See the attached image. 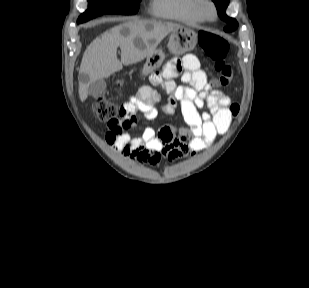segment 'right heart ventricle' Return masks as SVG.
Listing matches in <instances>:
<instances>
[{
	"instance_id": "obj_1",
	"label": "right heart ventricle",
	"mask_w": 309,
	"mask_h": 288,
	"mask_svg": "<svg viewBox=\"0 0 309 288\" xmlns=\"http://www.w3.org/2000/svg\"><path fill=\"white\" fill-rule=\"evenodd\" d=\"M196 4V0H151L150 11L156 17L197 24L203 20L197 14Z\"/></svg>"
}]
</instances>
